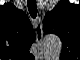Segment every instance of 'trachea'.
I'll list each match as a JSON object with an SVG mask.
<instances>
[{
  "instance_id": "trachea-1",
  "label": "trachea",
  "mask_w": 80,
  "mask_h": 60,
  "mask_svg": "<svg viewBox=\"0 0 80 60\" xmlns=\"http://www.w3.org/2000/svg\"><path fill=\"white\" fill-rule=\"evenodd\" d=\"M27 6L30 16L34 19L37 16V5L35 0H28Z\"/></svg>"
}]
</instances>
